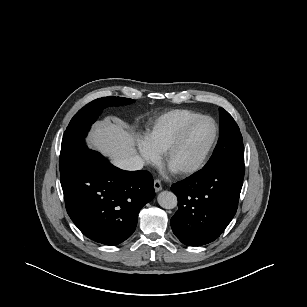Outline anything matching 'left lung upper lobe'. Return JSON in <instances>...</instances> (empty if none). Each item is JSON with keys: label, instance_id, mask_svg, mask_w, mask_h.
Listing matches in <instances>:
<instances>
[{"label": "left lung upper lobe", "instance_id": "obj_1", "mask_svg": "<svg viewBox=\"0 0 307 307\" xmlns=\"http://www.w3.org/2000/svg\"><path fill=\"white\" fill-rule=\"evenodd\" d=\"M220 138L210 160L202 169L224 168L244 177V145L232 116L220 108Z\"/></svg>", "mask_w": 307, "mask_h": 307}]
</instances>
